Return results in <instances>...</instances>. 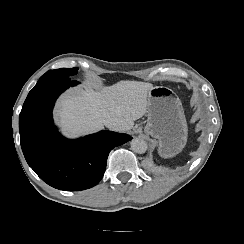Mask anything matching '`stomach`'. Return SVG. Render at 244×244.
I'll list each match as a JSON object with an SVG mask.
<instances>
[{"label": "stomach", "mask_w": 244, "mask_h": 244, "mask_svg": "<svg viewBox=\"0 0 244 244\" xmlns=\"http://www.w3.org/2000/svg\"><path fill=\"white\" fill-rule=\"evenodd\" d=\"M147 124L144 132L158 140V153L171 158L187 143L188 128L181 100L165 86H155L147 93Z\"/></svg>", "instance_id": "0dacf381"}]
</instances>
